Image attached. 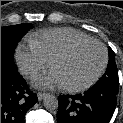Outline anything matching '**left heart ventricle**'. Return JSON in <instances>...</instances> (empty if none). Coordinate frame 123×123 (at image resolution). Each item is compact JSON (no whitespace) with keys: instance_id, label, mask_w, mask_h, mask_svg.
<instances>
[{"instance_id":"left-heart-ventricle-1","label":"left heart ventricle","mask_w":123,"mask_h":123,"mask_svg":"<svg viewBox=\"0 0 123 123\" xmlns=\"http://www.w3.org/2000/svg\"><path fill=\"white\" fill-rule=\"evenodd\" d=\"M103 61L99 45L90 43L77 48L66 58L57 61L52 69L57 72L63 85H80L92 79Z\"/></svg>"}]
</instances>
